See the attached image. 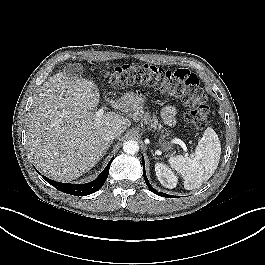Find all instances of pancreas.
Here are the masks:
<instances>
[{
  "instance_id": "1",
  "label": "pancreas",
  "mask_w": 265,
  "mask_h": 265,
  "mask_svg": "<svg viewBox=\"0 0 265 265\" xmlns=\"http://www.w3.org/2000/svg\"><path fill=\"white\" fill-rule=\"evenodd\" d=\"M132 118L135 121H144L146 124H149L154 129H161L162 126L158 124L156 117L151 116L148 112H145L142 107L137 108L132 114Z\"/></svg>"
}]
</instances>
